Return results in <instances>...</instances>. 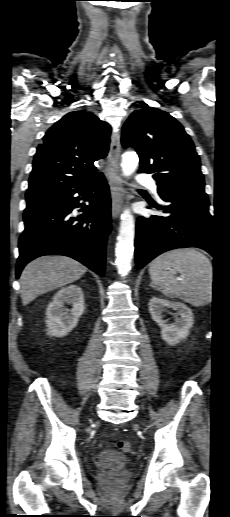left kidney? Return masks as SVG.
I'll list each match as a JSON object with an SVG mask.
<instances>
[{"label":"left kidney","instance_id":"obj_1","mask_svg":"<svg viewBox=\"0 0 230 517\" xmlns=\"http://www.w3.org/2000/svg\"><path fill=\"white\" fill-rule=\"evenodd\" d=\"M148 305L152 319L161 327V337L165 342L175 345L180 340L186 339L194 323L193 313L189 307L180 302L168 301L157 297L150 299ZM167 309H173L177 312L175 321L170 324L163 320V313Z\"/></svg>","mask_w":230,"mask_h":517}]
</instances>
